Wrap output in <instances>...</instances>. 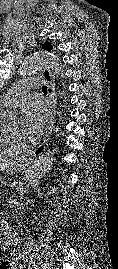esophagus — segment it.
<instances>
[{"instance_id": "esophagus-1", "label": "esophagus", "mask_w": 118, "mask_h": 269, "mask_svg": "<svg viewBox=\"0 0 118 269\" xmlns=\"http://www.w3.org/2000/svg\"><path fill=\"white\" fill-rule=\"evenodd\" d=\"M42 76L44 78V81L47 84V95L50 102V121L47 128L46 136L42 143L36 147L29 155L30 158L38 157L40 156L44 150L46 149V146L51 138V135L54 130V123H55V116H56V107H57V98L55 94V85H54V77L50 70L44 69L42 71Z\"/></svg>"}]
</instances>
